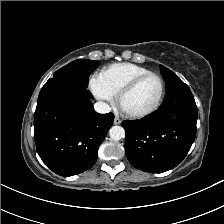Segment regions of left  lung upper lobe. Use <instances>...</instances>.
<instances>
[{"mask_svg":"<svg viewBox=\"0 0 224 224\" xmlns=\"http://www.w3.org/2000/svg\"><path fill=\"white\" fill-rule=\"evenodd\" d=\"M161 73L163 74L166 82L165 98L171 97L181 90L189 89V87L177 75H175V73L163 65H161Z\"/></svg>","mask_w":224,"mask_h":224,"instance_id":"1","label":"left lung upper lobe"}]
</instances>
